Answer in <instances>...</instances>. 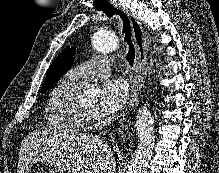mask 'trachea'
<instances>
[{"label":"trachea","mask_w":219,"mask_h":173,"mask_svg":"<svg viewBox=\"0 0 219 173\" xmlns=\"http://www.w3.org/2000/svg\"><path fill=\"white\" fill-rule=\"evenodd\" d=\"M97 10L103 11L108 17H111L113 15H119L120 18L122 19V24H123L122 33L124 34V41L128 45V53L126 58L128 63L131 66H133L135 59V47L132 41L131 24L129 18L123 11L115 8L113 5L99 7L97 8Z\"/></svg>","instance_id":"3493384b"}]
</instances>
